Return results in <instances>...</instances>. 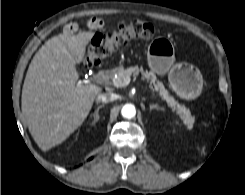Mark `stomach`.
Returning <instances> with one entry per match:
<instances>
[{
	"instance_id": "1",
	"label": "stomach",
	"mask_w": 245,
	"mask_h": 195,
	"mask_svg": "<svg viewBox=\"0 0 245 195\" xmlns=\"http://www.w3.org/2000/svg\"><path fill=\"white\" fill-rule=\"evenodd\" d=\"M173 44L163 38L153 40L148 46V64L157 74L168 73L173 91L182 99L197 98L203 89V77L200 71L191 64H174Z\"/></svg>"
}]
</instances>
